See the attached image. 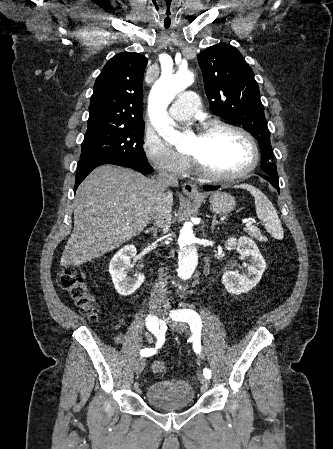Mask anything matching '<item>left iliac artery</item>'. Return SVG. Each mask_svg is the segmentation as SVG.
I'll use <instances>...</instances> for the list:
<instances>
[{"instance_id":"obj_1","label":"left iliac artery","mask_w":333,"mask_h":449,"mask_svg":"<svg viewBox=\"0 0 333 449\" xmlns=\"http://www.w3.org/2000/svg\"><path fill=\"white\" fill-rule=\"evenodd\" d=\"M170 316L173 320L187 322L190 329L193 332L191 340L193 341V349L196 354L201 352V318L197 312L191 309L174 310L171 311ZM203 375L207 378H211V370L209 368H204Z\"/></svg>"}]
</instances>
